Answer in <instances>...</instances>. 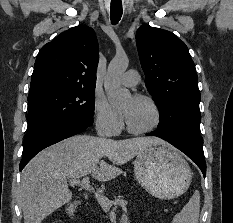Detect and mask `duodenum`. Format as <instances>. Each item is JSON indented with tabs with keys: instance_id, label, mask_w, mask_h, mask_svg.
Listing matches in <instances>:
<instances>
[{
	"instance_id": "duodenum-1",
	"label": "duodenum",
	"mask_w": 233,
	"mask_h": 223,
	"mask_svg": "<svg viewBox=\"0 0 233 223\" xmlns=\"http://www.w3.org/2000/svg\"><path fill=\"white\" fill-rule=\"evenodd\" d=\"M80 204H81V201H79V200H76V201L69 203L66 207L67 215L69 217H73L76 213V210L80 206ZM120 223H126V221L124 219H122Z\"/></svg>"
}]
</instances>
